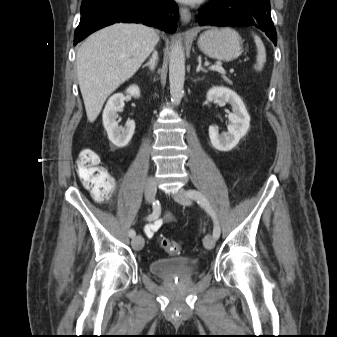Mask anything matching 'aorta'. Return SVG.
Masks as SVG:
<instances>
[{
  "mask_svg": "<svg viewBox=\"0 0 337 337\" xmlns=\"http://www.w3.org/2000/svg\"><path fill=\"white\" fill-rule=\"evenodd\" d=\"M185 81V56L181 40H177L171 49L169 60V83L171 99L178 104L183 97Z\"/></svg>",
  "mask_w": 337,
  "mask_h": 337,
  "instance_id": "1",
  "label": "aorta"
}]
</instances>
